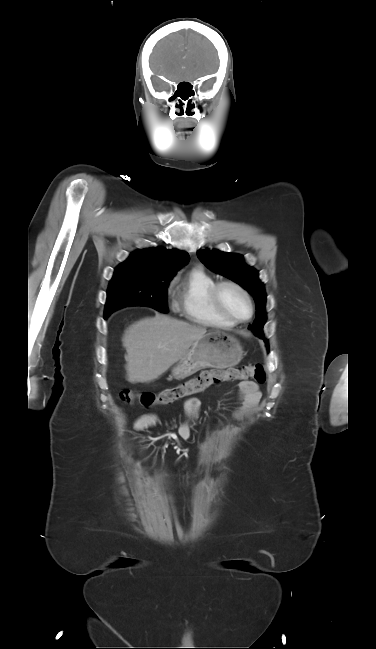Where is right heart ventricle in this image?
<instances>
[{
	"instance_id": "e07e8e85",
	"label": "right heart ventricle",
	"mask_w": 376,
	"mask_h": 649,
	"mask_svg": "<svg viewBox=\"0 0 376 649\" xmlns=\"http://www.w3.org/2000/svg\"><path fill=\"white\" fill-rule=\"evenodd\" d=\"M216 279L202 267H194L174 282L175 307L192 322L217 328H232L212 299Z\"/></svg>"
}]
</instances>
